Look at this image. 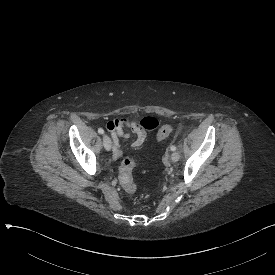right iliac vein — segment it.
Returning <instances> with one entry per match:
<instances>
[{
    "instance_id": "obj_1",
    "label": "right iliac vein",
    "mask_w": 275,
    "mask_h": 275,
    "mask_svg": "<svg viewBox=\"0 0 275 275\" xmlns=\"http://www.w3.org/2000/svg\"><path fill=\"white\" fill-rule=\"evenodd\" d=\"M103 146L107 151L111 150L112 142H111V139L107 135L103 136Z\"/></svg>"
}]
</instances>
